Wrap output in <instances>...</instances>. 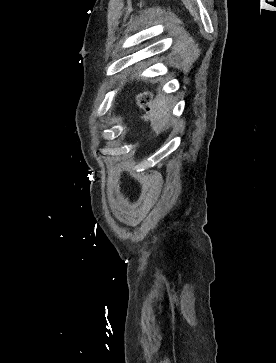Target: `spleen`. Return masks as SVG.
Instances as JSON below:
<instances>
[{
  "label": "spleen",
  "instance_id": "obj_1",
  "mask_svg": "<svg viewBox=\"0 0 276 363\" xmlns=\"http://www.w3.org/2000/svg\"><path fill=\"white\" fill-rule=\"evenodd\" d=\"M171 99L159 94L150 105V120L157 134L164 131L170 121Z\"/></svg>",
  "mask_w": 276,
  "mask_h": 363
}]
</instances>
